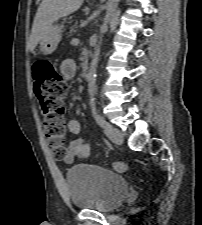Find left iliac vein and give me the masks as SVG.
<instances>
[{"label": "left iliac vein", "mask_w": 202, "mask_h": 225, "mask_svg": "<svg viewBox=\"0 0 202 225\" xmlns=\"http://www.w3.org/2000/svg\"><path fill=\"white\" fill-rule=\"evenodd\" d=\"M104 132L107 137L115 144L121 145L123 143L121 132L114 126L110 125L109 127L104 128Z\"/></svg>", "instance_id": "4c4485c4"}]
</instances>
